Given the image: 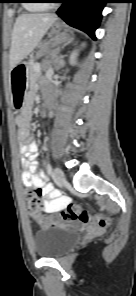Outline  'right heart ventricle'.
Masks as SVG:
<instances>
[{
	"instance_id": "right-heart-ventricle-1",
	"label": "right heart ventricle",
	"mask_w": 136,
	"mask_h": 296,
	"mask_svg": "<svg viewBox=\"0 0 136 296\" xmlns=\"http://www.w3.org/2000/svg\"><path fill=\"white\" fill-rule=\"evenodd\" d=\"M41 0H28L27 3H25V8L29 11H38L45 9V3H38Z\"/></svg>"
}]
</instances>
